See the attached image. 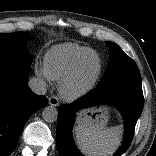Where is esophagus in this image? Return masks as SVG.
Listing matches in <instances>:
<instances>
[{
  "mask_svg": "<svg viewBox=\"0 0 156 156\" xmlns=\"http://www.w3.org/2000/svg\"><path fill=\"white\" fill-rule=\"evenodd\" d=\"M48 102L51 106H59V100L56 96H51Z\"/></svg>",
  "mask_w": 156,
  "mask_h": 156,
  "instance_id": "1",
  "label": "esophagus"
}]
</instances>
